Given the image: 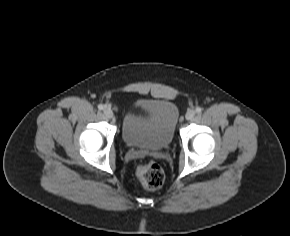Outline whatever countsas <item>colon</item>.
<instances>
[{
  "label": "colon",
  "mask_w": 290,
  "mask_h": 236,
  "mask_svg": "<svg viewBox=\"0 0 290 236\" xmlns=\"http://www.w3.org/2000/svg\"><path fill=\"white\" fill-rule=\"evenodd\" d=\"M136 175L142 185L149 190L158 189L164 183V172L162 168L155 163L140 165L137 168Z\"/></svg>",
  "instance_id": "colon-1"
}]
</instances>
